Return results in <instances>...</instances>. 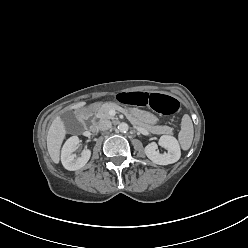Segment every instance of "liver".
I'll list each match as a JSON object with an SVG mask.
<instances>
[{"mask_svg": "<svg viewBox=\"0 0 248 248\" xmlns=\"http://www.w3.org/2000/svg\"><path fill=\"white\" fill-rule=\"evenodd\" d=\"M85 102H79L70 107V109H79L85 106ZM66 128L60 116H57L49 127L47 134V149L52 161L56 164L60 160V148L65 139Z\"/></svg>", "mask_w": 248, "mask_h": 248, "instance_id": "liver-1", "label": "liver"}]
</instances>
